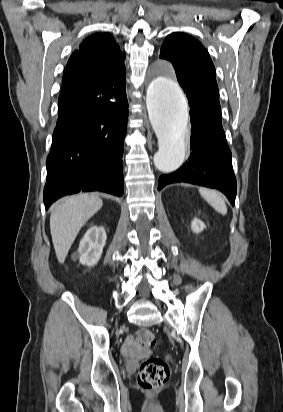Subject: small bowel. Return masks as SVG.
I'll return each instance as SVG.
<instances>
[{
    "label": "small bowel",
    "mask_w": 283,
    "mask_h": 412,
    "mask_svg": "<svg viewBox=\"0 0 283 412\" xmlns=\"http://www.w3.org/2000/svg\"><path fill=\"white\" fill-rule=\"evenodd\" d=\"M120 353L131 361H137L147 355V350L135 341L133 335H130L122 345Z\"/></svg>",
    "instance_id": "obj_1"
}]
</instances>
